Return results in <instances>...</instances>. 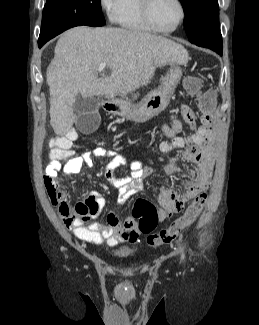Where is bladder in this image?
<instances>
[{
	"instance_id": "31cf9c89",
	"label": "bladder",
	"mask_w": 259,
	"mask_h": 325,
	"mask_svg": "<svg viewBox=\"0 0 259 325\" xmlns=\"http://www.w3.org/2000/svg\"><path fill=\"white\" fill-rule=\"evenodd\" d=\"M113 256L119 259H125L134 254V250L130 247H119L112 252Z\"/></svg>"
}]
</instances>
